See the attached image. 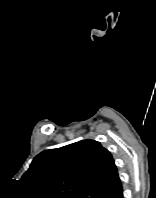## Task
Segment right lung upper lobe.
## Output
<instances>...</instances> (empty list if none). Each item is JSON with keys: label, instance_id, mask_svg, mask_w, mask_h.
<instances>
[{"label": "right lung upper lobe", "instance_id": "right-lung-upper-lobe-1", "mask_svg": "<svg viewBox=\"0 0 156 198\" xmlns=\"http://www.w3.org/2000/svg\"><path fill=\"white\" fill-rule=\"evenodd\" d=\"M22 180L40 198H114L122 190L111 153L94 140L41 152Z\"/></svg>", "mask_w": 156, "mask_h": 198}]
</instances>
